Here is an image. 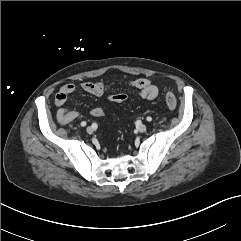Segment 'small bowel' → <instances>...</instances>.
<instances>
[{"label":"small bowel","instance_id":"1","mask_svg":"<svg viewBox=\"0 0 241 241\" xmlns=\"http://www.w3.org/2000/svg\"><path fill=\"white\" fill-rule=\"evenodd\" d=\"M81 89L91 95L100 97L104 95L110 88L108 84L103 81H85L81 83ZM129 86L139 92L141 98L146 100H154L159 94V87L149 78H139L129 82ZM76 91L74 84L68 83L63 85L55 95V105L59 107L57 111V120L61 124H69L79 117L76 111L67 110L63 108L68 97ZM91 115L95 118H100L104 115L101 107H94L91 110Z\"/></svg>","mask_w":241,"mask_h":241}]
</instances>
